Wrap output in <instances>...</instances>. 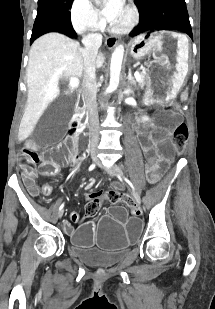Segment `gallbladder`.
Instances as JSON below:
<instances>
[{"instance_id":"obj_1","label":"gallbladder","mask_w":215,"mask_h":309,"mask_svg":"<svg viewBox=\"0 0 215 309\" xmlns=\"http://www.w3.org/2000/svg\"><path fill=\"white\" fill-rule=\"evenodd\" d=\"M75 92H62L55 102L48 104L46 113L33 129L32 134L38 148H53L61 136H64L68 120L75 112Z\"/></svg>"}]
</instances>
